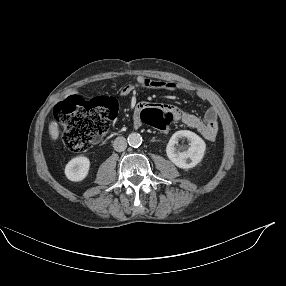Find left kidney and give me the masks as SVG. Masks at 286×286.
Wrapping results in <instances>:
<instances>
[{
  "mask_svg": "<svg viewBox=\"0 0 286 286\" xmlns=\"http://www.w3.org/2000/svg\"><path fill=\"white\" fill-rule=\"evenodd\" d=\"M187 138L189 141V147L180 152L176 149L178 140ZM206 144L204 140L194 132L189 130H180L175 132L170 138L166 153L168 158L179 168L190 169L195 167L204 157Z\"/></svg>",
  "mask_w": 286,
  "mask_h": 286,
  "instance_id": "left-kidney-1",
  "label": "left kidney"
}]
</instances>
